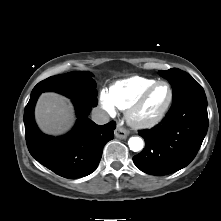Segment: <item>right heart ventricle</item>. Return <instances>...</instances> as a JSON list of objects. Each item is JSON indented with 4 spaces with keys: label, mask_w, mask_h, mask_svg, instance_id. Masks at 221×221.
Here are the masks:
<instances>
[{
    "label": "right heart ventricle",
    "mask_w": 221,
    "mask_h": 221,
    "mask_svg": "<svg viewBox=\"0 0 221 221\" xmlns=\"http://www.w3.org/2000/svg\"><path fill=\"white\" fill-rule=\"evenodd\" d=\"M156 81V79L152 78L132 76L114 82L109 88L108 93L111 101L117 108L126 110L145 89Z\"/></svg>",
    "instance_id": "right-heart-ventricle-1"
}]
</instances>
